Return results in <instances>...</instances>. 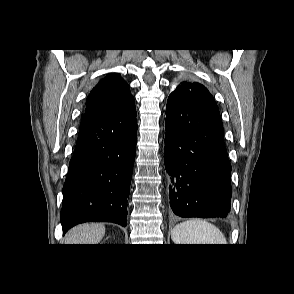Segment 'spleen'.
Listing matches in <instances>:
<instances>
[{
	"label": "spleen",
	"instance_id": "obj_1",
	"mask_svg": "<svg viewBox=\"0 0 294 294\" xmlns=\"http://www.w3.org/2000/svg\"><path fill=\"white\" fill-rule=\"evenodd\" d=\"M171 238L175 244H227L223 233L202 219H190L176 225Z\"/></svg>",
	"mask_w": 294,
	"mask_h": 294
}]
</instances>
